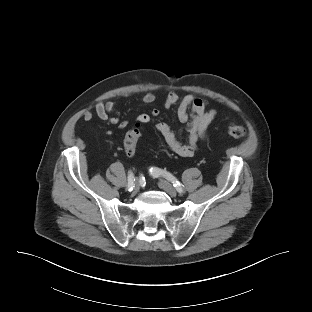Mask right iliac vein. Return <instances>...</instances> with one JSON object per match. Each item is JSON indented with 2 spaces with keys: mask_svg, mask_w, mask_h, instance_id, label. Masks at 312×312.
I'll list each match as a JSON object with an SVG mask.
<instances>
[{
  "mask_svg": "<svg viewBox=\"0 0 312 312\" xmlns=\"http://www.w3.org/2000/svg\"><path fill=\"white\" fill-rule=\"evenodd\" d=\"M139 187H140L139 183H138V181H136L135 184H134V189H133L132 194H136L137 191L139 190Z\"/></svg>",
  "mask_w": 312,
  "mask_h": 312,
  "instance_id": "63e3f726",
  "label": "right iliac vein"
}]
</instances>
